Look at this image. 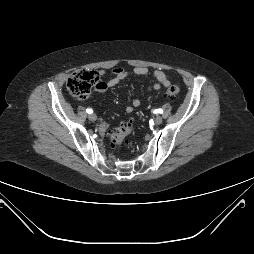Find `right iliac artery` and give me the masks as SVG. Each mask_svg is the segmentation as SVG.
Wrapping results in <instances>:
<instances>
[{
	"instance_id": "obj_1",
	"label": "right iliac artery",
	"mask_w": 254,
	"mask_h": 254,
	"mask_svg": "<svg viewBox=\"0 0 254 254\" xmlns=\"http://www.w3.org/2000/svg\"><path fill=\"white\" fill-rule=\"evenodd\" d=\"M86 111H87V113H88V114L93 113V110H92L91 108H87V110H86Z\"/></svg>"
}]
</instances>
